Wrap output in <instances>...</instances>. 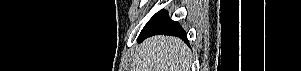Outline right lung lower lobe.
Wrapping results in <instances>:
<instances>
[{"instance_id": "1", "label": "right lung lower lobe", "mask_w": 301, "mask_h": 71, "mask_svg": "<svg viewBox=\"0 0 301 71\" xmlns=\"http://www.w3.org/2000/svg\"><path fill=\"white\" fill-rule=\"evenodd\" d=\"M158 34L178 36L188 42L186 32L183 31L181 25L169 19L168 13L165 10L157 12L148 21L138 37V42Z\"/></svg>"}]
</instances>
